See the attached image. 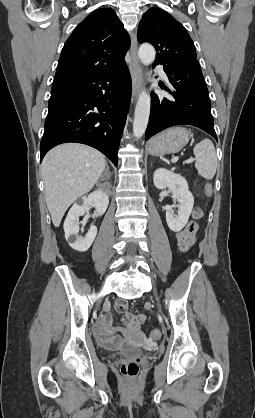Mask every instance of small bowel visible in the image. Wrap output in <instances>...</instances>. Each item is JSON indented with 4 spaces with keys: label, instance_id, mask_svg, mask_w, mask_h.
<instances>
[{
    "label": "small bowel",
    "instance_id": "small-bowel-1",
    "mask_svg": "<svg viewBox=\"0 0 255 418\" xmlns=\"http://www.w3.org/2000/svg\"><path fill=\"white\" fill-rule=\"evenodd\" d=\"M179 239L180 253L185 255L187 253L186 249H191L194 246L196 237L199 236L198 228H180L177 231ZM117 312L123 314L122 320L125 323L126 327L124 329H119L118 333L113 335L110 325L113 320V315H107L102 324H100L97 329V336L99 343L106 348H115L120 346L123 343L124 337H130L134 339L141 338V332L139 330V324L144 320V315H134L126 311L127 305L124 301H118L115 305Z\"/></svg>",
    "mask_w": 255,
    "mask_h": 418
}]
</instances>
